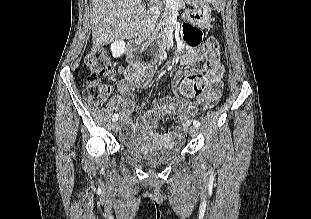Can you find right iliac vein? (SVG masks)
Listing matches in <instances>:
<instances>
[{
    "mask_svg": "<svg viewBox=\"0 0 311 219\" xmlns=\"http://www.w3.org/2000/svg\"><path fill=\"white\" fill-rule=\"evenodd\" d=\"M119 129H120V126H119L118 122H114V123L112 124V130H113L115 133H117V132L119 131Z\"/></svg>",
    "mask_w": 311,
    "mask_h": 219,
    "instance_id": "63e3f726",
    "label": "right iliac vein"
}]
</instances>
